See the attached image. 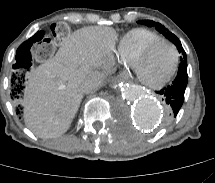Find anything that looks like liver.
<instances>
[{
  "label": "liver",
  "mask_w": 215,
  "mask_h": 183,
  "mask_svg": "<svg viewBox=\"0 0 215 183\" xmlns=\"http://www.w3.org/2000/svg\"><path fill=\"white\" fill-rule=\"evenodd\" d=\"M116 39L109 27L76 30L27 76L23 115L28 129L45 139L67 132L83 99L81 84L103 79L98 69L110 66Z\"/></svg>",
  "instance_id": "obj_1"
}]
</instances>
